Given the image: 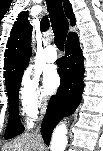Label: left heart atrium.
<instances>
[{
  "instance_id": "1",
  "label": "left heart atrium",
  "mask_w": 103,
  "mask_h": 151,
  "mask_svg": "<svg viewBox=\"0 0 103 151\" xmlns=\"http://www.w3.org/2000/svg\"><path fill=\"white\" fill-rule=\"evenodd\" d=\"M44 90L46 94H52L60 84V78L55 68L48 67L43 74Z\"/></svg>"
}]
</instances>
